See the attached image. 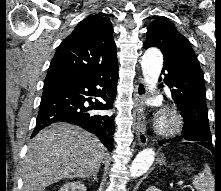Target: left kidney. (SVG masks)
Returning a JSON list of instances; mask_svg holds the SVG:
<instances>
[{
  "label": "left kidney",
  "instance_id": "obj_1",
  "mask_svg": "<svg viewBox=\"0 0 221 191\" xmlns=\"http://www.w3.org/2000/svg\"><path fill=\"white\" fill-rule=\"evenodd\" d=\"M146 191H161V190L156 188L155 186H150Z\"/></svg>",
  "mask_w": 221,
  "mask_h": 191
}]
</instances>
